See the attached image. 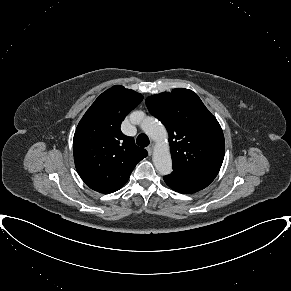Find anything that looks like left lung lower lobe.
Here are the masks:
<instances>
[{
	"mask_svg": "<svg viewBox=\"0 0 291 291\" xmlns=\"http://www.w3.org/2000/svg\"><path fill=\"white\" fill-rule=\"evenodd\" d=\"M165 183L174 191L183 194L195 193L207 187L213 179L173 171L163 177Z\"/></svg>",
	"mask_w": 291,
	"mask_h": 291,
	"instance_id": "1",
	"label": "left lung lower lobe"
}]
</instances>
